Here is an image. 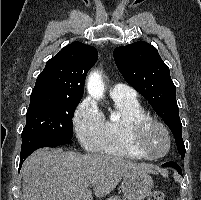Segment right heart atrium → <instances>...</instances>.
Masks as SVG:
<instances>
[{"mask_svg":"<svg viewBox=\"0 0 201 200\" xmlns=\"http://www.w3.org/2000/svg\"><path fill=\"white\" fill-rule=\"evenodd\" d=\"M73 127L82 146L97 151L101 146L103 117L90 99L83 100L73 116Z\"/></svg>","mask_w":201,"mask_h":200,"instance_id":"1","label":"right heart atrium"}]
</instances>
